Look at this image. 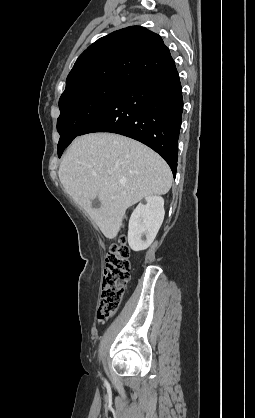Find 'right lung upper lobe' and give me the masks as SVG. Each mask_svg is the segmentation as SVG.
Masks as SVG:
<instances>
[{
    "mask_svg": "<svg viewBox=\"0 0 255 418\" xmlns=\"http://www.w3.org/2000/svg\"><path fill=\"white\" fill-rule=\"evenodd\" d=\"M174 64L158 34L141 26H130L98 39L78 57L63 94L96 81L129 85Z\"/></svg>",
    "mask_w": 255,
    "mask_h": 418,
    "instance_id": "obj_1",
    "label": "right lung upper lobe"
}]
</instances>
